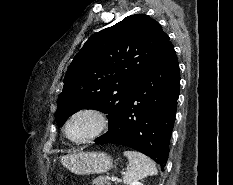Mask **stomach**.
I'll return each mask as SVG.
<instances>
[{
    "label": "stomach",
    "mask_w": 233,
    "mask_h": 185,
    "mask_svg": "<svg viewBox=\"0 0 233 185\" xmlns=\"http://www.w3.org/2000/svg\"><path fill=\"white\" fill-rule=\"evenodd\" d=\"M65 168L76 175L101 174L113 166L112 158L105 152L76 151L61 158Z\"/></svg>",
    "instance_id": "0dacf381"
}]
</instances>
